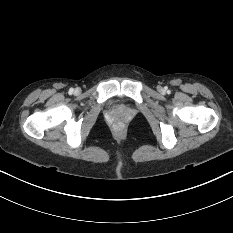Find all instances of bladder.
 <instances>
[{"label": "bladder", "instance_id": "1", "mask_svg": "<svg viewBox=\"0 0 233 233\" xmlns=\"http://www.w3.org/2000/svg\"><path fill=\"white\" fill-rule=\"evenodd\" d=\"M115 105H116V106H121L119 103H116Z\"/></svg>", "mask_w": 233, "mask_h": 233}]
</instances>
